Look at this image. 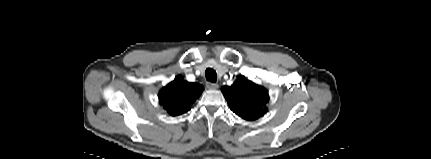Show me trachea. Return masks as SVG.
<instances>
[{"mask_svg": "<svg viewBox=\"0 0 431 159\" xmlns=\"http://www.w3.org/2000/svg\"><path fill=\"white\" fill-rule=\"evenodd\" d=\"M205 76L207 81H210L212 83L216 82V71L212 68H207L205 71Z\"/></svg>", "mask_w": 431, "mask_h": 159, "instance_id": "3493384b", "label": "trachea"}]
</instances>
